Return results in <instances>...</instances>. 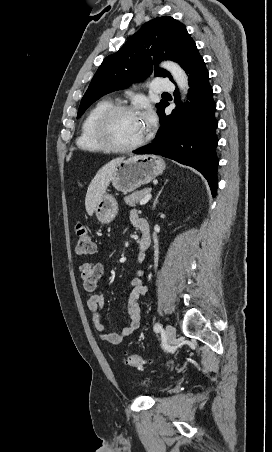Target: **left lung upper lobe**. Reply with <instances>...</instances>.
I'll return each instance as SVG.
<instances>
[{
	"label": "left lung upper lobe",
	"mask_w": 272,
	"mask_h": 452,
	"mask_svg": "<svg viewBox=\"0 0 272 452\" xmlns=\"http://www.w3.org/2000/svg\"><path fill=\"white\" fill-rule=\"evenodd\" d=\"M194 45L186 27L172 17H158L145 23L118 52L104 59L81 100L77 118L103 95L147 77L153 65L155 76L173 81L169 72L159 69L157 63L168 59L183 66ZM165 103L161 100L157 104L158 113Z\"/></svg>",
	"instance_id": "obj_1"
}]
</instances>
